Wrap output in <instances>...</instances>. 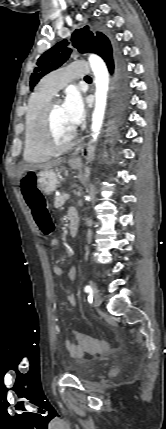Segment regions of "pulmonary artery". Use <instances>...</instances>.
Returning <instances> with one entry per match:
<instances>
[{
	"instance_id": "pulmonary-artery-1",
	"label": "pulmonary artery",
	"mask_w": 166,
	"mask_h": 429,
	"mask_svg": "<svg viewBox=\"0 0 166 429\" xmlns=\"http://www.w3.org/2000/svg\"><path fill=\"white\" fill-rule=\"evenodd\" d=\"M90 73L89 64L85 61L72 62L66 67L60 68L50 73L40 84V87L56 94L65 84L72 79L83 78Z\"/></svg>"
}]
</instances>
